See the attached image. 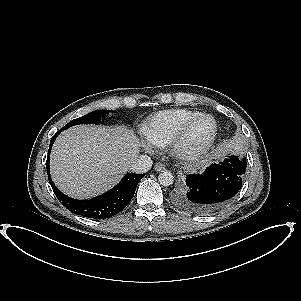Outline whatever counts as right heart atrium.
I'll list each match as a JSON object with an SVG mask.
<instances>
[{
    "label": "right heart atrium",
    "mask_w": 301,
    "mask_h": 301,
    "mask_svg": "<svg viewBox=\"0 0 301 301\" xmlns=\"http://www.w3.org/2000/svg\"><path fill=\"white\" fill-rule=\"evenodd\" d=\"M142 147L147 150V151H151L152 150V146L148 141H142Z\"/></svg>",
    "instance_id": "obj_1"
}]
</instances>
